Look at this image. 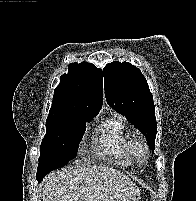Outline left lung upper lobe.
<instances>
[{"mask_svg": "<svg viewBox=\"0 0 196 201\" xmlns=\"http://www.w3.org/2000/svg\"><path fill=\"white\" fill-rule=\"evenodd\" d=\"M103 73L108 104L125 115L146 136L149 147L154 150L157 122L146 78L140 69L128 62L109 63Z\"/></svg>", "mask_w": 196, "mask_h": 201, "instance_id": "obj_1", "label": "left lung upper lobe"}]
</instances>
